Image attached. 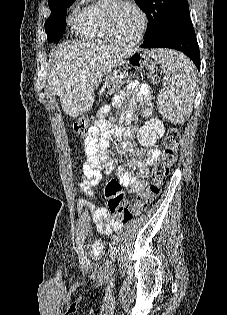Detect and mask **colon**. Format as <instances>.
I'll return each mask as SVG.
<instances>
[{
	"instance_id": "1",
	"label": "colon",
	"mask_w": 227,
	"mask_h": 315,
	"mask_svg": "<svg viewBox=\"0 0 227 315\" xmlns=\"http://www.w3.org/2000/svg\"><path fill=\"white\" fill-rule=\"evenodd\" d=\"M135 67H145L150 70L153 82L160 80V71L154 67L147 59L135 57L132 60ZM91 123L89 117H79L73 124V131L80 137H86L90 131ZM181 136L177 128L168 129L164 138V148L159 161L153 166L150 180L146 186L138 192L132 205H128L125 200V193L121 184L112 179L107 182L104 188L105 197L108 200V209L115 219L121 224H127L132 218L146 209L152 201L160 194L171 167L177 160L178 148Z\"/></svg>"
}]
</instances>
